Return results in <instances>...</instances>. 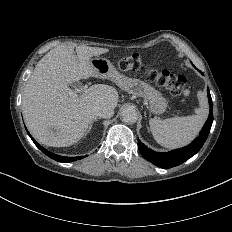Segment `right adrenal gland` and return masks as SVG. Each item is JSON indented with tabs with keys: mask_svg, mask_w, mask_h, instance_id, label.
Returning <instances> with one entry per match:
<instances>
[{
	"mask_svg": "<svg viewBox=\"0 0 232 232\" xmlns=\"http://www.w3.org/2000/svg\"><path fill=\"white\" fill-rule=\"evenodd\" d=\"M95 121H97V118H95V119H93V120L91 121V123L89 124L88 129H87V130L85 131V133H84V136H86V135L90 132V130L92 129L93 123H94Z\"/></svg>",
	"mask_w": 232,
	"mask_h": 232,
	"instance_id": "2a0ac1e0",
	"label": "right adrenal gland"
}]
</instances>
